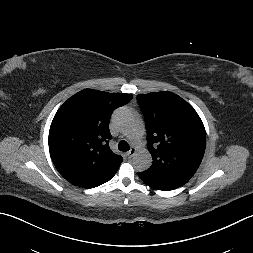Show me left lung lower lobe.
I'll return each mask as SVG.
<instances>
[{"label": "left lung lower lobe", "instance_id": "obj_1", "mask_svg": "<svg viewBox=\"0 0 253 253\" xmlns=\"http://www.w3.org/2000/svg\"><path fill=\"white\" fill-rule=\"evenodd\" d=\"M138 175L144 183L158 190L168 191V190L176 189L184 185L183 183L178 182V181L154 178V177L145 175L143 173H138Z\"/></svg>", "mask_w": 253, "mask_h": 253}]
</instances>
